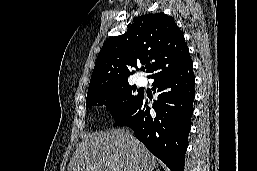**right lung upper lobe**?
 I'll return each mask as SVG.
<instances>
[{
	"label": "right lung upper lobe",
	"instance_id": "cb5924a9",
	"mask_svg": "<svg viewBox=\"0 0 257 171\" xmlns=\"http://www.w3.org/2000/svg\"><path fill=\"white\" fill-rule=\"evenodd\" d=\"M190 59L184 35L164 13L138 17L123 35L108 39L98 54L89 91L128 83L129 68L147 64L149 77Z\"/></svg>",
	"mask_w": 257,
	"mask_h": 171
}]
</instances>
